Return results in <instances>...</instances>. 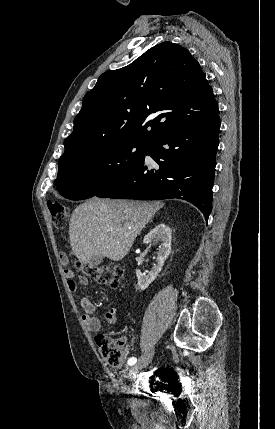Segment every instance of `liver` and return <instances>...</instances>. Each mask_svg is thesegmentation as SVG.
<instances>
[{
	"mask_svg": "<svg viewBox=\"0 0 275 429\" xmlns=\"http://www.w3.org/2000/svg\"><path fill=\"white\" fill-rule=\"evenodd\" d=\"M160 202H136L93 197L72 213L69 238L72 251L87 264L94 256L122 260Z\"/></svg>",
	"mask_w": 275,
	"mask_h": 429,
	"instance_id": "6515ba94",
	"label": "liver"
}]
</instances>
